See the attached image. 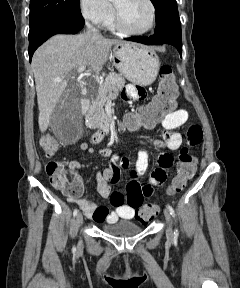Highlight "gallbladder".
<instances>
[{
    "instance_id": "bac80fb5",
    "label": "gallbladder",
    "mask_w": 240,
    "mask_h": 288,
    "mask_svg": "<svg viewBox=\"0 0 240 288\" xmlns=\"http://www.w3.org/2000/svg\"><path fill=\"white\" fill-rule=\"evenodd\" d=\"M79 111V97L69 88L64 91L58 104L55 106L50 121L55 123L70 118Z\"/></svg>"
}]
</instances>
